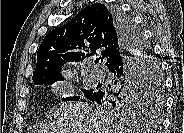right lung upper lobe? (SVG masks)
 <instances>
[{
	"label": "right lung upper lobe",
	"mask_w": 184,
	"mask_h": 133,
	"mask_svg": "<svg viewBox=\"0 0 184 133\" xmlns=\"http://www.w3.org/2000/svg\"><path fill=\"white\" fill-rule=\"evenodd\" d=\"M121 45L113 11L99 3L86 6L68 24L45 36L37 52L32 79L36 83L42 78L61 76L66 62L83 61L96 52L101 53L102 61L108 65L120 52Z\"/></svg>",
	"instance_id": "1"
}]
</instances>
